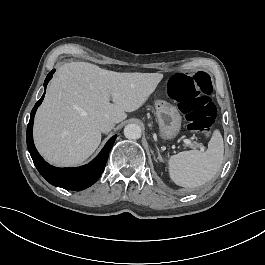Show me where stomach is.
<instances>
[{
	"label": "stomach",
	"mask_w": 265,
	"mask_h": 265,
	"mask_svg": "<svg viewBox=\"0 0 265 265\" xmlns=\"http://www.w3.org/2000/svg\"><path fill=\"white\" fill-rule=\"evenodd\" d=\"M156 116L163 139L175 137L181 128V115L178 109L164 100L155 101Z\"/></svg>",
	"instance_id": "stomach-1"
}]
</instances>
